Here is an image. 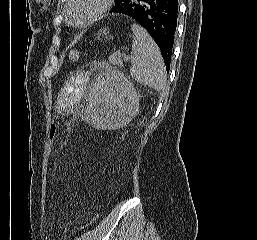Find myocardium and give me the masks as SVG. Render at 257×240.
<instances>
[{
    "instance_id": "obj_1",
    "label": "myocardium",
    "mask_w": 257,
    "mask_h": 240,
    "mask_svg": "<svg viewBox=\"0 0 257 240\" xmlns=\"http://www.w3.org/2000/svg\"><path fill=\"white\" fill-rule=\"evenodd\" d=\"M74 0H67L65 7H64V14L65 17L67 19V22L76 28H84L90 24H92L93 22H95L96 20H98L100 17L103 16V14H105L108 9L111 6L112 0H100V5L99 7L95 10V12L93 14H91L87 19H85L82 22L79 23H74L71 18H70V14H69V7L72 4Z\"/></svg>"
}]
</instances>
